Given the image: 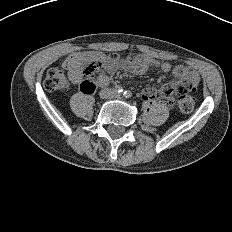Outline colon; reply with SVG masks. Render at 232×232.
Masks as SVG:
<instances>
[{
    "instance_id": "1",
    "label": "colon",
    "mask_w": 232,
    "mask_h": 232,
    "mask_svg": "<svg viewBox=\"0 0 232 232\" xmlns=\"http://www.w3.org/2000/svg\"><path fill=\"white\" fill-rule=\"evenodd\" d=\"M121 62H126L128 64H134L136 62V57L128 56L121 59L118 55L112 54L108 56L96 55L88 59L86 67L83 71V81L80 85V89L85 94H90L95 89L94 76L95 74L105 68L110 66H118ZM67 86V80L63 71L59 68H51L48 70L46 77L44 79V87L48 91H55L63 89ZM195 88L189 87L187 85H181L177 87L174 91H171V101L166 103L167 105H172L174 103L173 95L178 97V105L183 112L192 111L195 104V97L192 94ZM162 94V93H161ZM160 94V95H161Z\"/></svg>"
}]
</instances>
